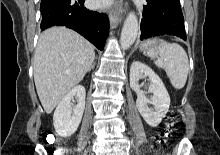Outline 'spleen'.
Wrapping results in <instances>:
<instances>
[{
	"label": "spleen",
	"mask_w": 220,
	"mask_h": 155,
	"mask_svg": "<svg viewBox=\"0 0 220 155\" xmlns=\"http://www.w3.org/2000/svg\"><path fill=\"white\" fill-rule=\"evenodd\" d=\"M146 54L156 58V66L165 70L175 89L180 90L185 86L189 62L185 50L178 43L162 42L157 50L149 48Z\"/></svg>",
	"instance_id": "3e777b00"
}]
</instances>
